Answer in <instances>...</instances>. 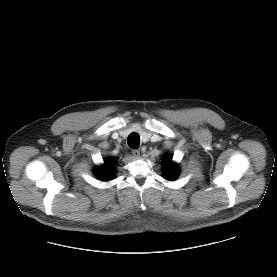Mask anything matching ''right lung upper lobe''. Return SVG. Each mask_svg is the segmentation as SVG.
I'll return each mask as SVG.
<instances>
[{"label":"right lung upper lobe","mask_w":277,"mask_h":277,"mask_svg":"<svg viewBox=\"0 0 277 277\" xmlns=\"http://www.w3.org/2000/svg\"><path fill=\"white\" fill-rule=\"evenodd\" d=\"M104 162V165L100 166L96 172L99 179L108 181L114 178L112 171L114 170L116 162L112 159H106Z\"/></svg>","instance_id":"cb5924a9"}]
</instances>
